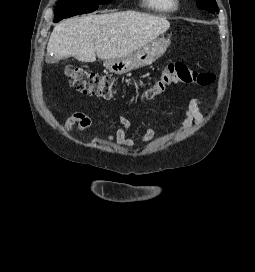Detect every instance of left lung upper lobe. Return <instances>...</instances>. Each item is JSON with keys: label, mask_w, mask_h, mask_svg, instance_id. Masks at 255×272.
<instances>
[{"label": "left lung upper lobe", "mask_w": 255, "mask_h": 272, "mask_svg": "<svg viewBox=\"0 0 255 272\" xmlns=\"http://www.w3.org/2000/svg\"><path fill=\"white\" fill-rule=\"evenodd\" d=\"M197 6L209 12H215L218 8L215 0H197Z\"/></svg>", "instance_id": "left-lung-upper-lobe-1"}]
</instances>
